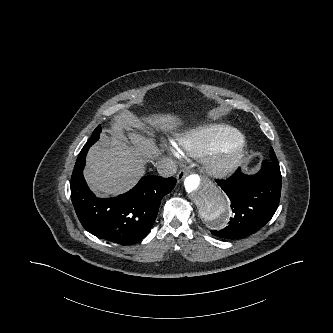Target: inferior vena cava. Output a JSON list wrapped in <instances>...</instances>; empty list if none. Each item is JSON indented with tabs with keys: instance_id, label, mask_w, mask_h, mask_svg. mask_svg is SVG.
<instances>
[{
	"instance_id": "1",
	"label": "inferior vena cava",
	"mask_w": 333,
	"mask_h": 333,
	"mask_svg": "<svg viewBox=\"0 0 333 333\" xmlns=\"http://www.w3.org/2000/svg\"><path fill=\"white\" fill-rule=\"evenodd\" d=\"M157 171L162 177H171L177 172V165L172 159L164 158L158 161Z\"/></svg>"
}]
</instances>
